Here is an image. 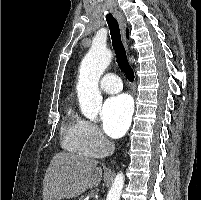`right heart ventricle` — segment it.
<instances>
[{"label":"right heart ventricle","mask_w":201,"mask_h":200,"mask_svg":"<svg viewBox=\"0 0 201 200\" xmlns=\"http://www.w3.org/2000/svg\"><path fill=\"white\" fill-rule=\"evenodd\" d=\"M63 145L73 153L86 154L81 145L78 118L68 111L62 127Z\"/></svg>","instance_id":"1"}]
</instances>
